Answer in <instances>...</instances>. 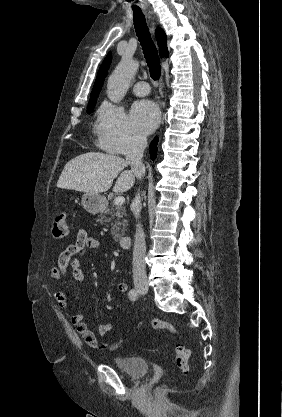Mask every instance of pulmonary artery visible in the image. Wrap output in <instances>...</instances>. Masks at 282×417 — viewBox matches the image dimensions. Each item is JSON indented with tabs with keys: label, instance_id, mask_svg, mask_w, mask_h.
Segmentation results:
<instances>
[{
	"label": "pulmonary artery",
	"instance_id": "obj_1",
	"mask_svg": "<svg viewBox=\"0 0 282 417\" xmlns=\"http://www.w3.org/2000/svg\"><path fill=\"white\" fill-rule=\"evenodd\" d=\"M132 91L136 96L143 97L150 92V86L148 85V83L141 81L133 86Z\"/></svg>",
	"mask_w": 282,
	"mask_h": 417
}]
</instances>
